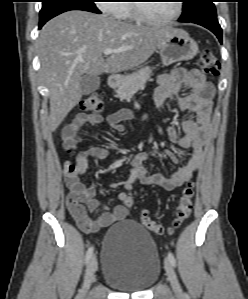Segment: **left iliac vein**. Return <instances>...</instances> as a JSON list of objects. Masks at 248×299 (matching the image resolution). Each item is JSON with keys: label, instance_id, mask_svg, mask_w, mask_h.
<instances>
[{"label": "left iliac vein", "instance_id": "1", "mask_svg": "<svg viewBox=\"0 0 248 299\" xmlns=\"http://www.w3.org/2000/svg\"><path fill=\"white\" fill-rule=\"evenodd\" d=\"M165 270H166L168 280L172 286L174 293L177 296H181L182 295L181 286L178 282V279H177L176 273L172 267V264L170 263V261L168 259L165 260Z\"/></svg>", "mask_w": 248, "mask_h": 299}]
</instances>
